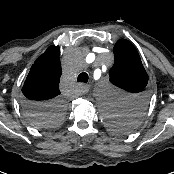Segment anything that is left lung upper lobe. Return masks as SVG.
I'll return each mask as SVG.
<instances>
[{"label": "left lung upper lobe", "instance_id": "1", "mask_svg": "<svg viewBox=\"0 0 174 174\" xmlns=\"http://www.w3.org/2000/svg\"><path fill=\"white\" fill-rule=\"evenodd\" d=\"M115 63L109 72L110 81L133 93L121 115L111 114L108 121L114 131L126 134L134 130L146 108L147 97L142 93L148 83V75L140 56L131 42L125 39L114 46Z\"/></svg>", "mask_w": 174, "mask_h": 174}]
</instances>
